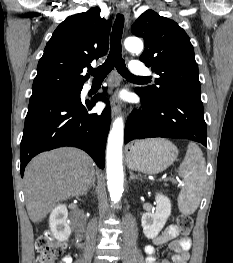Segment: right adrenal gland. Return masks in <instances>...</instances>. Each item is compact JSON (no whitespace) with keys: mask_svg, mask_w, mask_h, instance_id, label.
<instances>
[{"mask_svg":"<svg viewBox=\"0 0 233 263\" xmlns=\"http://www.w3.org/2000/svg\"><path fill=\"white\" fill-rule=\"evenodd\" d=\"M92 187L95 188V177L93 178V181H92L91 185H90L89 188L87 189L86 194L90 191V189H91Z\"/></svg>","mask_w":233,"mask_h":263,"instance_id":"obj_1","label":"right adrenal gland"}]
</instances>
